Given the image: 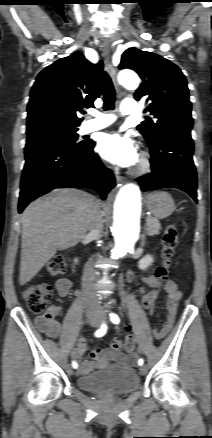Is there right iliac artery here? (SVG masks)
Instances as JSON below:
<instances>
[{
  "label": "right iliac artery",
  "mask_w": 212,
  "mask_h": 438,
  "mask_svg": "<svg viewBox=\"0 0 212 438\" xmlns=\"http://www.w3.org/2000/svg\"><path fill=\"white\" fill-rule=\"evenodd\" d=\"M106 332H107V326L103 323L101 325V327L95 332V336L96 337H102V336L105 335ZM72 367L74 369H77L78 368V364L75 361H73L72 362Z\"/></svg>",
  "instance_id": "1"
}]
</instances>
